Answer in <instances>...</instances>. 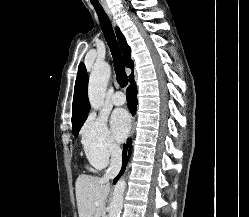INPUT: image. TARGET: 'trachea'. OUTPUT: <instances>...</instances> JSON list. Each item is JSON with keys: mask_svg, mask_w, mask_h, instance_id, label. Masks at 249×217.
I'll return each mask as SVG.
<instances>
[{"mask_svg": "<svg viewBox=\"0 0 249 217\" xmlns=\"http://www.w3.org/2000/svg\"><path fill=\"white\" fill-rule=\"evenodd\" d=\"M94 8L98 15L104 37L109 45V48H110V51L113 57L114 68H115V72L117 76V82L119 83L121 87H125L128 84V77L125 73V64H124L123 56L118 46L112 25L102 7L94 6Z\"/></svg>", "mask_w": 249, "mask_h": 217, "instance_id": "obj_1", "label": "trachea"}]
</instances>
